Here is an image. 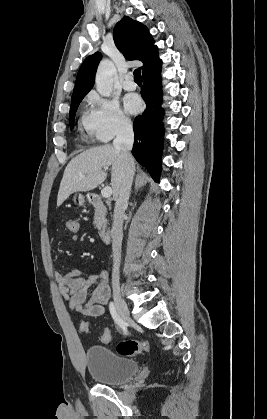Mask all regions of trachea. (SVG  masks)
Here are the masks:
<instances>
[{"instance_id":"trachea-1","label":"trachea","mask_w":267,"mask_h":419,"mask_svg":"<svg viewBox=\"0 0 267 419\" xmlns=\"http://www.w3.org/2000/svg\"><path fill=\"white\" fill-rule=\"evenodd\" d=\"M134 79L136 81H141L142 80L141 70L140 69H135V71H134Z\"/></svg>"}]
</instances>
